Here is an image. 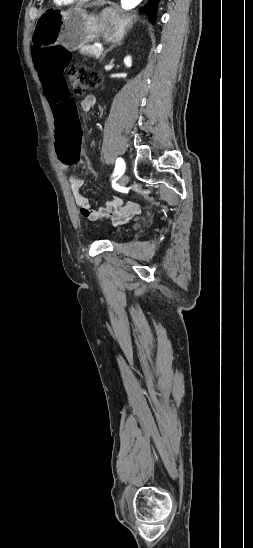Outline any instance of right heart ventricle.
<instances>
[{
    "label": "right heart ventricle",
    "instance_id": "1",
    "mask_svg": "<svg viewBox=\"0 0 253 548\" xmlns=\"http://www.w3.org/2000/svg\"><path fill=\"white\" fill-rule=\"evenodd\" d=\"M76 0H53V2L56 4V5H69V4H72L73 2H75Z\"/></svg>",
    "mask_w": 253,
    "mask_h": 548
}]
</instances>
